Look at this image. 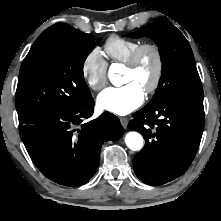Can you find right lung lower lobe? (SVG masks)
<instances>
[{
    "mask_svg": "<svg viewBox=\"0 0 221 221\" xmlns=\"http://www.w3.org/2000/svg\"><path fill=\"white\" fill-rule=\"evenodd\" d=\"M94 100L75 109L42 113L19 123L21 139L36 167L50 180L69 187L86 184L97 171L104 142L123 135L118 117L94 112Z\"/></svg>",
    "mask_w": 221,
    "mask_h": 221,
    "instance_id": "1",
    "label": "right lung lower lobe"
}]
</instances>
